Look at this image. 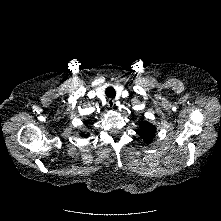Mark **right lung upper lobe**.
Returning <instances> with one entry per match:
<instances>
[{
    "label": "right lung upper lobe",
    "mask_w": 221,
    "mask_h": 221,
    "mask_svg": "<svg viewBox=\"0 0 221 221\" xmlns=\"http://www.w3.org/2000/svg\"><path fill=\"white\" fill-rule=\"evenodd\" d=\"M81 136H84V137H86L87 135H86V134H83V133H82V134H81Z\"/></svg>",
    "instance_id": "obj_1"
}]
</instances>
